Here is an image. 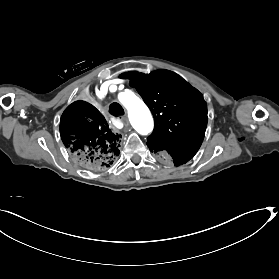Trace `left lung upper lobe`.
Listing matches in <instances>:
<instances>
[{
    "mask_svg": "<svg viewBox=\"0 0 279 279\" xmlns=\"http://www.w3.org/2000/svg\"><path fill=\"white\" fill-rule=\"evenodd\" d=\"M120 77L130 80L152 111L155 127L147 139L149 148L160 151L158 154L199 150L207 126V106L197 89L163 69L150 74L125 72Z\"/></svg>",
    "mask_w": 279,
    "mask_h": 279,
    "instance_id": "1",
    "label": "left lung upper lobe"
}]
</instances>
